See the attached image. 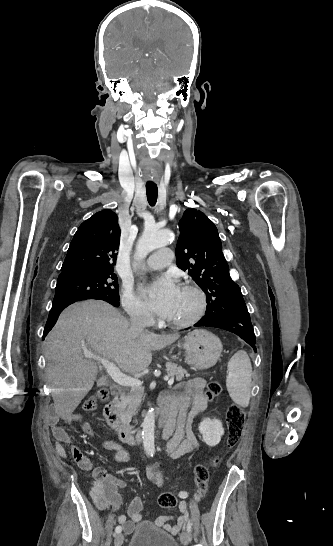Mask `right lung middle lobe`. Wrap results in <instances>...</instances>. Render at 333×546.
Listing matches in <instances>:
<instances>
[{
    "label": "right lung middle lobe",
    "mask_w": 333,
    "mask_h": 546,
    "mask_svg": "<svg viewBox=\"0 0 333 546\" xmlns=\"http://www.w3.org/2000/svg\"><path fill=\"white\" fill-rule=\"evenodd\" d=\"M105 296L119 300L113 271L74 272L58 277L53 304Z\"/></svg>",
    "instance_id": "obj_1"
}]
</instances>
